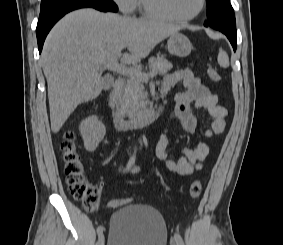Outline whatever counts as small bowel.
I'll return each mask as SVG.
<instances>
[{"mask_svg": "<svg viewBox=\"0 0 283 245\" xmlns=\"http://www.w3.org/2000/svg\"><path fill=\"white\" fill-rule=\"evenodd\" d=\"M179 84L185 88L183 91L173 93L175 107L171 112L156 145V156L165 167L177 175H191L203 168L204 161L209 154L208 140L222 134L226 127L228 111L219 104V98L205 86L192 71L179 69L167 74L162 83L164 96L171 93ZM200 112H205L209 117L208 125L204 131V139L197 140L194 147H183L179 150L176 159L169 154L170 142L168 131L173 121H179L184 129L195 134L200 125ZM120 169H123L121 167ZM139 173L138 166L127 165L124 171Z\"/></svg>", "mask_w": 283, "mask_h": 245, "instance_id": "1", "label": "small bowel"}]
</instances>
